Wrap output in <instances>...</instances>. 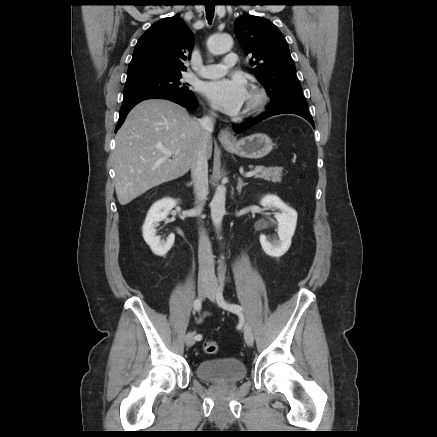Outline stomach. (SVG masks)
I'll return each mask as SVG.
<instances>
[{
    "label": "stomach",
    "instance_id": "0dacf381",
    "mask_svg": "<svg viewBox=\"0 0 437 437\" xmlns=\"http://www.w3.org/2000/svg\"><path fill=\"white\" fill-rule=\"evenodd\" d=\"M223 146L227 151L242 158L260 159L272 151L273 142L268 135L256 133L231 143H224Z\"/></svg>",
    "mask_w": 437,
    "mask_h": 437
}]
</instances>
